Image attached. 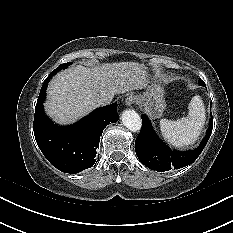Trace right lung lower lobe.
Wrapping results in <instances>:
<instances>
[{"label":"right lung lower lobe","mask_w":233,"mask_h":233,"mask_svg":"<svg viewBox=\"0 0 233 233\" xmlns=\"http://www.w3.org/2000/svg\"><path fill=\"white\" fill-rule=\"evenodd\" d=\"M44 82L35 107L33 130L38 147L46 159L64 173H78L96 162L103 129L118 120L116 102L97 108L91 114L71 126H57L43 111V101L49 79Z\"/></svg>","instance_id":"obj_1"}]
</instances>
